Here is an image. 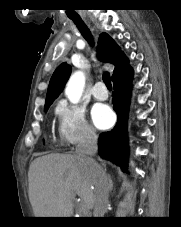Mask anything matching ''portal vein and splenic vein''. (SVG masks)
Segmentation results:
<instances>
[{
    "instance_id": "1",
    "label": "portal vein and splenic vein",
    "mask_w": 181,
    "mask_h": 227,
    "mask_svg": "<svg viewBox=\"0 0 181 227\" xmlns=\"http://www.w3.org/2000/svg\"><path fill=\"white\" fill-rule=\"evenodd\" d=\"M81 209L85 211L86 206L83 204V205L81 206Z\"/></svg>"
}]
</instances>
